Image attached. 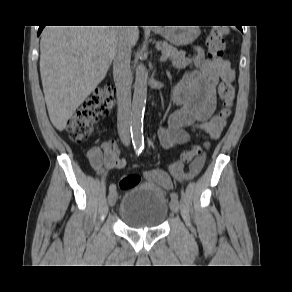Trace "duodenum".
<instances>
[{"instance_id": "410a0bca", "label": "duodenum", "mask_w": 292, "mask_h": 292, "mask_svg": "<svg viewBox=\"0 0 292 292\" xmlns=\"http://www.w3.org/2000/svg\"><path fill=\"white\" fill-rule=\"evenodd\" d=\"M124 103H125L124 92L121 89H119V91H118V106L120 108H122L124 106Z\"/></svg>"}]
</instances>
